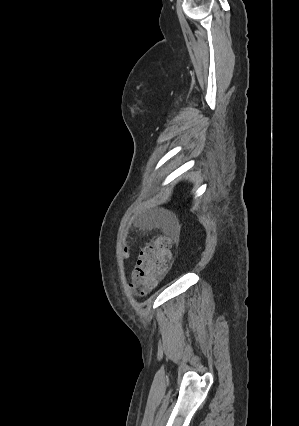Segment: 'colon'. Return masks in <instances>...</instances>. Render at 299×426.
Listing matches in <instances>:
<instances>
[{"mask_svg": "<svg viewBox=\"0 0 299 426\" xmlns=\"http://www.w3.org/2000/svg\"><path fill=\"white\" fill-rule=\"evenodd\" d=\"M172 247L169 237H160L141 250L131 284L139 295L147 294L157 285L171 258Z\"/></svg>", "mask_w": 299, "mask_h": 426, "instance_id": "obj_1", "label": "colon"}]
</instances>
